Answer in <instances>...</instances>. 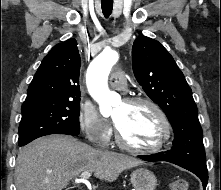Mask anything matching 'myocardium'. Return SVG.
I'll return each mask as SVG.
<instances>
[{
    "label": "myocardium",
    "mask_w": 221,
    "mask_h": 190,
    "mask_svg": "<svg viewBox=\"0 0 221 190\" xmlns=\"http://www.w3.org/2000/svg\"><path fill=\"white\" fill-rule=\"evenodd\" d=\"M124 102L129 105L144 104L152 108L159 119L160 133L154 144L147 147H138L126 142L119 128L116 126L115 138L117 144L125 150L140 154L155 153L164 148L171 135V124L164 110L156 102L146 97H129Z\"/></svg>",
    "instance_id": "f54148a6"
}]
</instances>
